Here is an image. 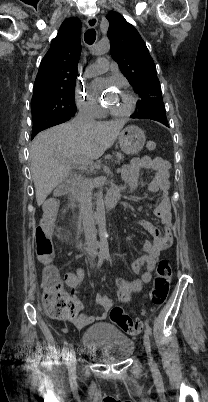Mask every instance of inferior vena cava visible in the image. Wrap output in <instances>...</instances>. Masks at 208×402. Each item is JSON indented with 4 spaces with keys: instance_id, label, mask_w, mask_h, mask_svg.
Segmentation results:
<instances>
[{
    "instance_id": "1",
    "label": "inferior vena cava",
    "mask_w": 208,
    "mask_h": 402,
    "mask_svg": "<svg viewBox=\"0 0 208 402\" xmlns=\"http://www.w3.org/2000/svg\"><path fill=\"white\" fill-rule=\"evenodd\" d=\"M89 108H91V104L80 108L76 118L72 120L73 126H86V124H92V122H94ZM92 190L93 184L91 180L85 178L80 190L79 206L87 246H91V244L95 246V244H97L95 220L92 212Z\"/></svg>"
}]
</instances>
